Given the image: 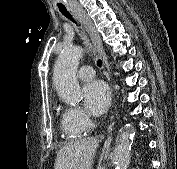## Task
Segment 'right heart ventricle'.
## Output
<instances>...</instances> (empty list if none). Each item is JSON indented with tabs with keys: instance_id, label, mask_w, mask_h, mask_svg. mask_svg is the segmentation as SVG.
Returning <instances> with one entry per match:
<instances>
[{
	"instance_id": "right-heart-ventricle-1",
	"label": "right heart ventricle",
	"mask_w": 177,
	"mask_h": 169,
	"mask_svg": "<svg viewBox=\"0 0 177 169\" xmlns=\"http://www.w3.org/2000/svg\"><path fill=\"white\" fill-rule=\"evenodd\" d=\"M61 121H62V128H63L64 132L67 134L68 138L73 139V138L79 137V134L71 132V127L69 126V124L67 123L66 118H65V112L62 115Z\"/></svg>"
}]
</instances>
